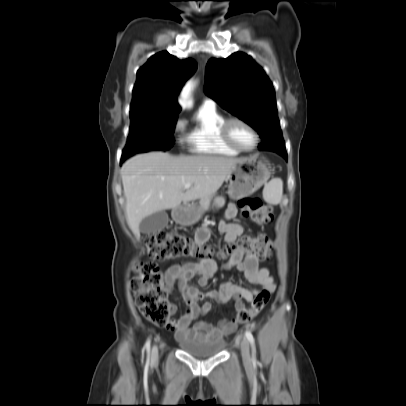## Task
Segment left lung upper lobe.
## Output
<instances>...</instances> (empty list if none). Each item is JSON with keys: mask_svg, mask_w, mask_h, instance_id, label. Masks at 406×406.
Wrapping results in <instances>:
<instances>
[{"mask_svg": "<svg viewBox=\"0 0 406 406\" xmlns=\"http://www.w3.org/2000/svg\"><path fill=\"white\" fill-rule=\"evenodd\" d=\"M204 92L258 132L262 138L260 150L287 154L274 87L250 56L236 52L226 59L211 58L206 66Z\"/></svg>", "mask_w": 406, "mask_h": 406, "instance_id": "obj_1", "label": "left lung upper lobe"}]
</instances>
